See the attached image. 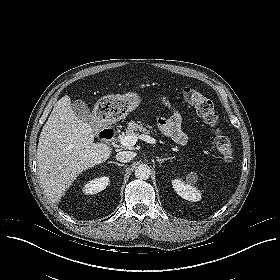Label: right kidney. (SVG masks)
Here are the masks:
<instances>
[{
  "instance_id": "obj_1",
  "label": "right kidney",
  "mask_w": 280,
  "mask_h": 280,
  "mask_svg": "<svg viewBox=\"0 0 280 280\" xmlns=\"http://www.w3.org/2000/svg\"><path fill=\"white\" fill-rule=\"evenodd\" d=\"M110 180L109 177L103 176L99 178H95L93 180L88 181L83 186V192L85 194H97L98 192H101L104 190L107 185L109 184Z\"/></svg>"
}]
</instances>
